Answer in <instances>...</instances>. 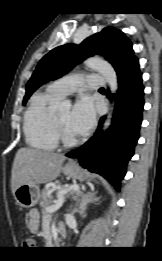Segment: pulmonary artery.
Returning <instances> with one entry per match:
<instances>
[{"label": "pulmonary artery", "mask_w": 162, "mask_h": 261, "mask_svg": "<svg viewBox=\"0 0 162 261\" xmlns=\"http://www.w3.org/2000/svg\"><path fill=\"white\" fill-rule=\"evenodd\" d=\"M104 86V80L101 75H87L80 74L69 75L51 82L48 85V90L53 94L64 97L73 93L81 87L89 89H101Z\"/></svg>", "instance_id": "obj_1"}]
</instances>
